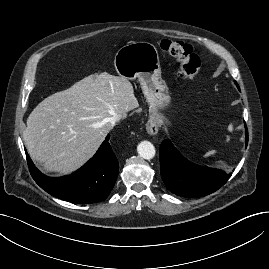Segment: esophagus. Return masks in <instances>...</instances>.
Segmentation results:
<instances>
[{"mask_svg":"<svg viewBox=\"0 0 269 269\" xmlns=\"http://www.w3.org/2000/svg\"><path fill=\"white\" fill-rule=\"evenodd\" d=\"M159 126L155 118H151L146 124V131L149 135H156L158 133Z\"/></svg>","mask_w":269,"mask_h":269,"instance_id":"obj_1","label":"esophagus"}]
</instances>
